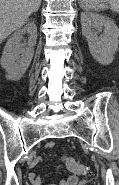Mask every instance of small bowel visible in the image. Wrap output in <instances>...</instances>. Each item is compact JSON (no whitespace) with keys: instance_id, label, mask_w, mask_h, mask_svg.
I'll return each mask as SVG.
<instances>
[{"instance_id":"small-bowel-1","label":"small bowel","mask_w":119,"mask_h":185,"mask_svg":"<svg viewBox=\"0 0 119 185\" xmlns=\"http://www.w3.org/2000/svg\"><path fill=\"white\" fill-rule=\"evenodd\" d=\"M54 146L55 144L53 142L47 143V148L49 149L54 148ZM40 162H41V158H36L31 162L30 167L34 168ZM29 180L32 183V185H43L42 179L40 175L37 174L36 171H32L29 174ZM76 183H77V177L75 175H69L67 178L60 180L58 184H51V185H76Z\"/></svg>"}]
</instances>
